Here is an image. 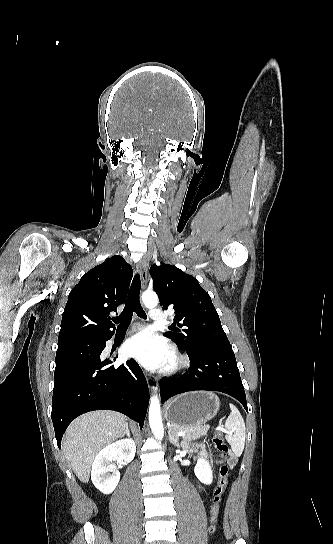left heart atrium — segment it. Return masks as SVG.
I'll list each match as a JSON object with an SVG mask.
<instances>
[{
	"label": "left heart atrium",
	"instance_id": "obj_1",
	"mask_svg": "<svg viewBox=\"0 0 333 544\" xmlns=\"http://www.w3.org/2000/svg\"><path fill=\"white\" fill-rule=\"evenodd\" d=\"M125 352L149 369L165 366L171 357L168 345L148 331L131 337L125 344Z\"/></svg>",
	"mask_w": 333,
	"mask_h": 544
}]
</instances>
